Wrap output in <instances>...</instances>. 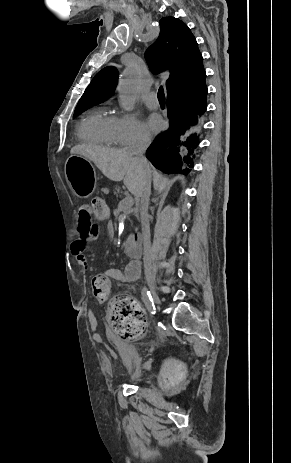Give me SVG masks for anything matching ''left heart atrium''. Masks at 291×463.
<instances>
[{
    "label": "left heart atrium",
    "mask_w": 291,
    "mask_h": 463,
    "mask_svg": "<svg viewBox=\"0 0 291 463\" xmlns=\"http://www.w3.org/2000/svg\"><path fill=\"white\" fill-rule=\"evenodd\" d=\"M147 125L151 131L157 132L162 129L163 121L158 115L151 114L147 119Z\"/></svg>",
    "instance_id": "obj_1"
}]
</instances>
